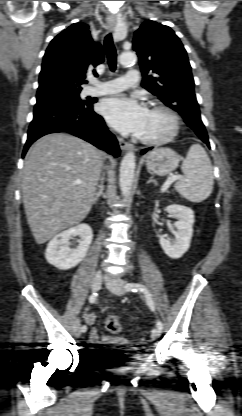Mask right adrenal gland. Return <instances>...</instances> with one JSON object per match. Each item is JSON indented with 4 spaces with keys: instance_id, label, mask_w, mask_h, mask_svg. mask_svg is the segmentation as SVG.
<instances>
[{
    "instance_id": "right-adrenal-gland-1",
    "label": "right adrenal gland",
    "mask_w": 242,
    "mask_h": 416,
    "mask_svg": "<svg viewBox=\"0 0 242 416\" xmlns=\"http://www.w3.org/2000/svg\"><path fill=\"white\" fill-rule=\"evenodd\" d=\"M103 189H104L103 184H101L100 186H98V191H97V193L95 194V197H94V200H93V202H94V203H95V202L99 199V197H101V196H102V194H103Z\"/></svg>"
}]
</instances>
